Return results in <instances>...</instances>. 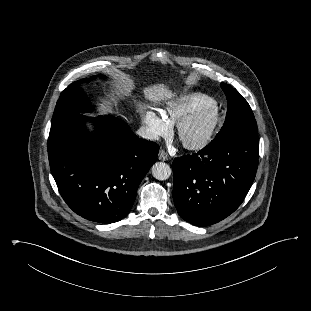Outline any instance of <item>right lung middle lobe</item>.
<instances>
[{"label":"right lung middle lobe","mask_w":311,"mask_h":311,"mask_svg":"<svg viewBox=\"0 0 311 311\" xmlns=\"http://www.w3.org/2000/svg\"><path fill=\"white\" fill-rule=\"evenodd\" d=\"M100 77L104 78V76ZM94 78L95 76L89 79H81L63 90L53 113L52 124L76 114L92 112L87 96L80 89V83L89 82Z\"/></svg>","instance_id":"dd1d6c3e"}]
</instances>
